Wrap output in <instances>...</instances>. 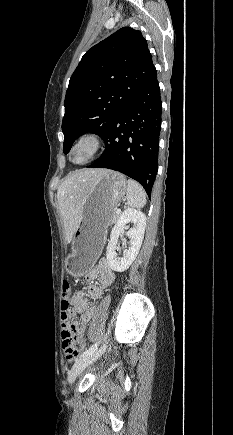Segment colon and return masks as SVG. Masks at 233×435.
I'll return each mask as SVG.
<instances>
[{
  "instance_id": "colon-1",
  "label": "colon",
  "mask_w": 233,
  "mask_h": 435,
  "mask_svg": "<svg viewBox=\"0 0 233 435\" xmlns=\"http://www.w3.org/2000/svg\"><path fill=\"white\" fill-rule=\"evenodd\" d=\"M71 284L67 280H63L61 285V298H62V310L67 314H72L71 311ZM63 337V349L65 356L68 360H72L79 354V349L75 343L73 332L71 329H64L62 332Z\"/></svg>"
}]
</instances>
